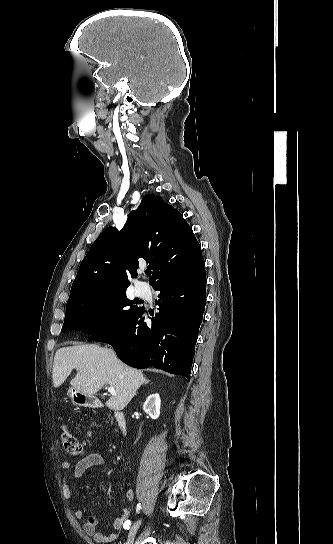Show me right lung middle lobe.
<instances>
[{"mask_svg":"<svg viewBox=\"0 0 333 544\" xmlns=\"http://www.w3.org/2000/svg\"><path fill=\"white\" fill-rule=\"evenodd\" d=\"M138 304L126 297V289L76 297L67 302L62 332L79 330L91 336L109 332L142 311Z\"/></svg>","mask_w":333,"mask_h":544,"instance_id":"obj_1","label":"right lung middle lobe"}]
</instances>
